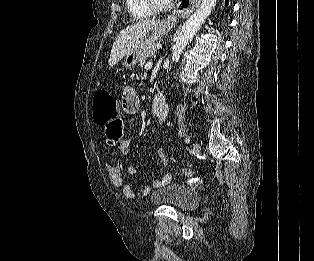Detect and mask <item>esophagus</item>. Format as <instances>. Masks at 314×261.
<instances>
[{
	"instance_id": "34e87169",
	"label": "esophagus",
	"mask_w": 314,
	"mask_h": 261,
	"mask_svg": "<svg viewBox=\"0 0 314 261\" xmlns=\"http://www.w3.org/2000/svg\"><path fill=\"white\" fill-rule=\"evenodd\" d=\"M201 0H190V3L185 7V4H179L176 10L178 15L188 16L199 5Z\"/></svg>"
}]
</instances>
